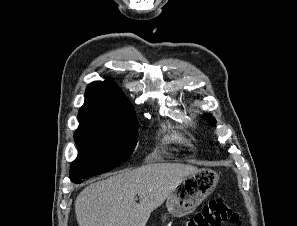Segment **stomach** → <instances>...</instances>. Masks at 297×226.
Returning a JSON list of instances; mask_svg holds the SVG:
<instances>
[{"label": "stomach", "instance_id": "stomach-1", "mask_svg": "<svg viewBox=\"0 0 297 226\" xmlns=\"http://www.w3.org/2000/svg\"><path fill=\"white\" fill-rule=\"evenodd\" d=\"M218 180V174L211 169H199L196 173L185 177L167 198L168 212L175 217L192 213L212 193Z\"/></svg>", "mask_w": 297, "mask_h": 226}]
</instances>
